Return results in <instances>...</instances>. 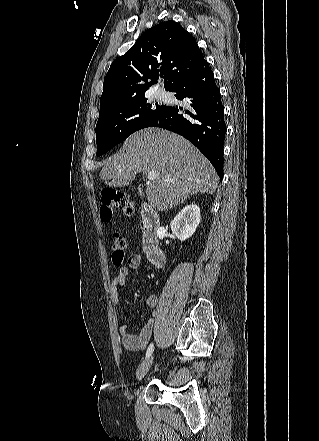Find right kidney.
Here are the masks:
<instances>
[{
	"label": "right kidney",
	"instance_id": "1",
	"mask_svg": "<svg viewBox=\"0 0 319 441\" xmlns=\"http://www.w3.org/2000/svg\"><path fill=\"white\" fill-rule=\"evenodd\" d=\"M200 223V208L196 204L185 206L172 220L171 230L181 241L190 238Z\"/></svg>",
	"mask_w": 319,
	"mask_h": 441
}]
</instances>
